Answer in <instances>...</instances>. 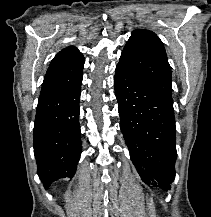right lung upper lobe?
I'll return each instance as SVG.
<instances>
[{
    "instance_id": "1",
    "label": "right lung upper lobe",
    "mask_w": 211,
    "mask_h": 217,
    "mask_svg": "<svg viewBox=\"0 0 211 217\" xmlns=\"http://www.w3.org/2000/svg\"><path fill=\"white\" fill-rule=\"evenodd\" d=\"M84 58L73 46L61 50L52 60L45 75L40 96L73 83L82 73Z\"/></svg>"
}]
</instances>
